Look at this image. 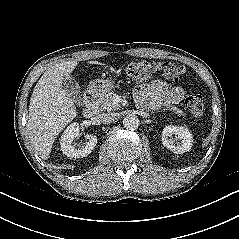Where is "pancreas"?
Masks as SVG:
<instances>
[{"label": "pancreas", "mask_w": 239, "mask_h": 239, "mask_svg": "<svg viewBox=\"0 0 239 239\" xmlns=\"http://www.w3.org/2000/svg\"><path fill=\"white\" fill-rule=\"evenodd\" d=\"M116 96L117 94L114 92L105 93L99 96L98 105L100 106V110H118L120 108V104L114 102ZM167 109L173 111L175 114H178V116H184V112L175 106H168Z\"/></svg>", "instance_id": "obj_1"}]
</instances>
